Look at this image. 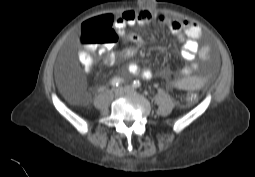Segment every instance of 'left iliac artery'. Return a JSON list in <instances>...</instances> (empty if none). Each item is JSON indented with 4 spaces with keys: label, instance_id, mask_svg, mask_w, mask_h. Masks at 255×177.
<instances>
[{
    "label": "left iliac artery",
    "instance_id": "44dca946",
    "mask_svg": "<svg viewBox=\"0 0 255 177\" xmlns=\"http://www.w3.org/2000/svg\"><path fill=\"white\" fill-rule=\"evenodd\" d=\"M133 87L134 88H140L141 87V83L139 81H134L133 82Z\"/></svg>",
    "mask_w": 255,
    "mask_h": 177
}]
</instances>
